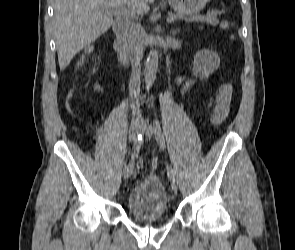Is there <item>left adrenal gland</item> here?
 <instances>
[{"mask_svg": "<svg viewBox=\"0 0 295 250\" xmlns=\"http://www.w3.org/2000/svg\"><path fill=\"white\" fill-rule=\"evenodd\" d=\"M177 33V31H172V34H176Z\"/></svg>", "mask_w": 295, "mask_h": 250, "instance_id": "1", "label": "left adrenal gland"}]
</instances>
